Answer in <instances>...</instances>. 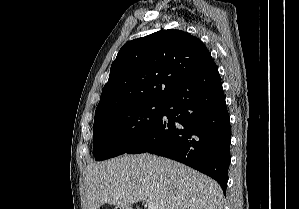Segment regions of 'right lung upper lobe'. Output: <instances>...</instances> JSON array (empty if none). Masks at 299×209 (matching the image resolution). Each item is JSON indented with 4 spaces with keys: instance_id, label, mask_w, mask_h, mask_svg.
<instances>
[{
    "instance_id": "1",
    "label": "right lung upper lobe",
    "mask_w": 299,
    "mask_h": 209,
    "mask_svg": "<svg viewBox=\"0 0 299 209\" xmlns=\"http://www.w3.org/2000/svg\"><path fill=\"white\" fill-rule=\"evenodd\" d=\"M217 69L210 52L181 30H161L126 43L111 65L95 116L143 102H165L193 74Z\"/></svg>"
}]
</instances>
